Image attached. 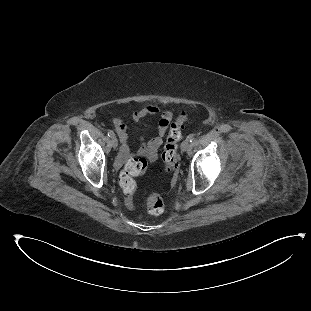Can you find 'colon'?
<instances>
[{
	"label": "colon",
	"mask_w": 311,
	"mask_h": 311,
	"mask_svg": "<svg viewBox=\"0 0 311 311\" xmlns=\"http://www.w3.org/2000/svg\"><path fill=\"white\" fill-rule=\"evenodd\" d=\"M189 121V116L186 112L178 114L177 119L171 123L166 140L163 147L162 161H163V172L170 174L174 172L178 167V144L182 137V131L185 125ZM147 162L145 158L138 156L131 159L126 168L120 175V184L124 194L127 197H132L136 191V182L134 176L145 169ZM148 211L151 214H161L164 210L163 199L157 195L152 194L148 197Z\"/></svg>",
	"instance_id": "5ec220e1"
}]
</instances>
